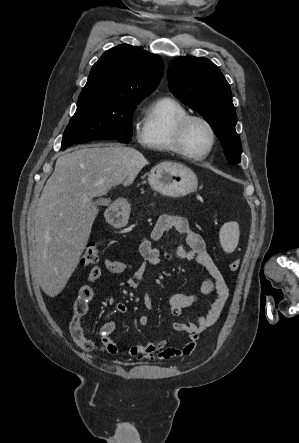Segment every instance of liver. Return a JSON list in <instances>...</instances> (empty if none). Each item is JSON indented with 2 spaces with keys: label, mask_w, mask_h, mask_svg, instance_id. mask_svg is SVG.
<instances>
[{
  "label": "liver",
  "mask_w": 299,
  "mask_h": 443,
  "mask_svg": "<svg viewBox=\"0 0 299 443\" xmlns=\"http://www.w3.org/2000/svg\"><path fill=\"white\" fill-rule=\"evenodd\" d=\"M147 164L142 153L117 144L87 146L57 159L39 199L34 228L35 274L48 296L64 289L78 265L99 212L93 198L133 181Z\"/></svg>",
  "instance_id": "obj_1"
}]
</instances>
